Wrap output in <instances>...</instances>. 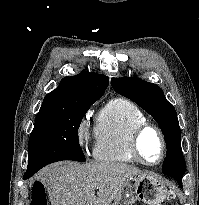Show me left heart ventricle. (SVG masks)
Listing matches in <instances>:
<instances>
[{"label":"left heart ventricle","instance_id":"obj_1","mask_svg":"<svg viewBox=\"0 0 199 205\" xmlns=\"http://www.w3.org/2000/svg\"><path fill=\"white\" fill-rule=\"evenodd\" d=\"M140 151L149 162H156L161 156V143L154 131L145 132L140 139Z\"/></svg>","mask_w":199,"mask_h":205}]
</instances>
